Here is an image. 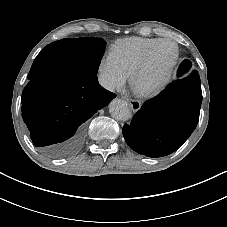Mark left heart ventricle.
<instances>
[{"mask_svg": "<svg viewBox=\"0 0 227 227\" xmlns=\"http://www.w3.org/2000/svg\"><path fill=\"white\" fill-rule=\"evenodd\" d=\"M176 54V48L172 43L160 44L145 70L136 78V85L141 89H146L160 80Z\"/></svg>", "mask_w": 227, "mask_h": 227, "instance_id": "left-heart-ventricle-1", "label": "left heart ventricle"}]
</instances>
